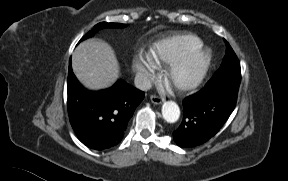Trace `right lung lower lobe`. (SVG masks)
Masks as SVG:
<instances>
[{"label":"right lung lower lobe","mask_w":288,"mask_h":181,"mask_svg":"<svg viewBox=\"0 0 288 181\" xmlns=\"http://www.w3.org/2000/svg\"><path fill=\"white\" fill-rule=\"evenodd\" d=\"M68 113L79 140L95 150L109 149L123 139L127 123L144 98V92L122 80L99 92L84 89L69 63Z\"/></svg>","instance_id":"1"}]
</instances>
